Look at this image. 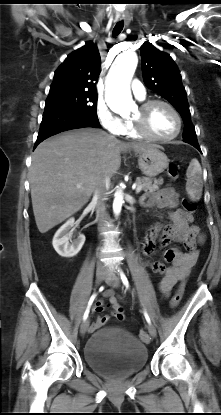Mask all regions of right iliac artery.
Instances as JSON below:
<instances>
[{
  "label": "right iliac artery",
  "instance_id": "right-iliac-artery-1",
  "mask_svg": "<svg viewBox=\"0 0 221 415\" xmlns=\"http://www.w3.org/2000/svg\"><path fill=\"white\" fill-rule=\"evenodd\" d=\"M102 289H103V287H101V288H100V290H102ZM96 296H97V294H96V293H94V294L90 297V299H89L88 306H87V308H86V310H85V313H84V315H83V320H84V321L88 318L89 311H90V307H91V305H92L93 301L95 300Z\"/></svg>",
  "mask_w": 221,
  "mask_h": 415
}]
</instances>
